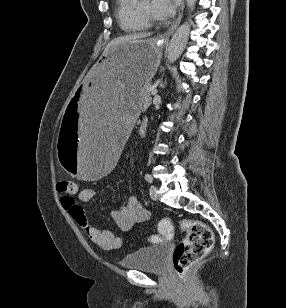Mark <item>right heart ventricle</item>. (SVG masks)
Masks as SVG:
<instances>
[{"label": "right heart ventricle", "mask_w": 286, "mask_h": 308, "mask_svg": "<svg viewBox=\"0 0 286 308\" xmlns=\"http://www.w3.org/2000/svg\"><path fill=\"white\" fill-rule=\"evenodd\" d=\"M115 16L124 32L138 33L148 28V24L138 16L132 0H116Z\"/></svg>", "instance_id": "right-heart-ventricle-1"}]
</instances>
